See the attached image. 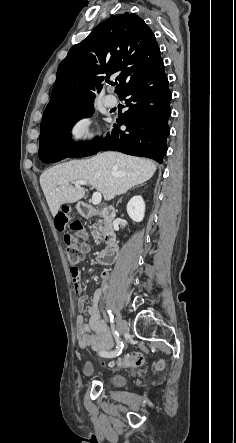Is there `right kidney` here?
I'll return each mask as SVG.
<instances>
[{
  "label": "right kidney",
  "mask_w": 236,
  "mask_h": 443,
  "mask_svg": "<svg viewBox=\"0 0 236 443\" xmlns=\"http://www.w3.org/2000/svg\"><path fill=\"white\" fill-rule=\"evenodd\" d=\"M127 213L135 222H141L144 218L145 203L141 196H134L127 204Z\"/></svg>",
  "instance_id": "1"
}]
</instances>
